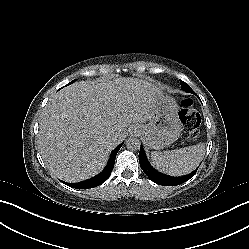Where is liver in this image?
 <instances>
[{"label": "liver", "mask_w": 249, "mask_h": 249, "mask_svg": "<svg viewBox=\"0 0 249 249\" xmlns=\"http://www.w3.org/2000/svg\"><path fill=\"white\" fill-rule=\"evenodd\" d=\"M159 90L145 80L120 78L77 82L60 92L40 120L37 146L45 166L72 173L75 182L96 176L126 127L152 118Z\"/></svg>", "instance_id": "1"}]
</instances>
